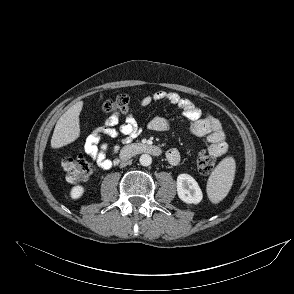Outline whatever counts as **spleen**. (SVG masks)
<instances>
[{
    "label": "spleen",
    "mask_w": 294,
    "mask_h": 294,
    "mask_svg": "<svg viewBox=\"0 0 294 294\" xmlns=\"http://www.w3.org/2000/svg\"><path fill=\"white\" fill-rule=\"evenodd\" d=\"M235 160L223 159L211 173L207 183V194L213 203L223 200L228 194L235 175Z\"/></svg>",
    "instance_id": "obj_1"
}]
</instances>
